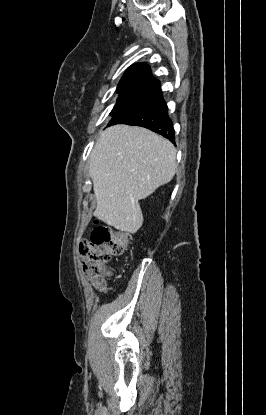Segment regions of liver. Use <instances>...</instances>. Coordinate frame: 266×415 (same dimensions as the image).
Segmentation results:
<instances>
[{
    "label": "liver",
    "instance_id": "6515ba94",
    "mask_svg": "<svg viewBox=\"0 0 266 415\" xmlns=\"http://www.w3.org/2000/svg\"><path fill=\"white\" fill-rule=\"evenodd\" d=\"M176 149L167 139L135 126L101 133L89 161L97 200L94 216L115 229L136 233L143 224L138 201L172 180Z\"/></svg>",
    "mask_w": 266,
    "mask_h": 415
}]
</instances>
